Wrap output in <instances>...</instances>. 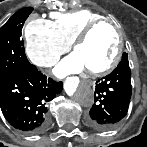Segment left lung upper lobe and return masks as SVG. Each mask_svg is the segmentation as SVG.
I'll use <instances>...</instances> for the list:
<instances>
[{
    "instance_id": "left-lung-upper-lobe-1",
    "label": "left lung upper lobe",
    "mask_w": 147,
    "mask_h": 147,
    "mask_svg": "<svg viewBox=\"0 0 147 147\" xmlns=\"http://www.w3.org/2000/svg\"><path fill=\"white\" fill-rule=\"evenodd\" d=\"M122 59H127V54H126V53H124V54L122 55Z\"/></svg>"
}]
</instances>
